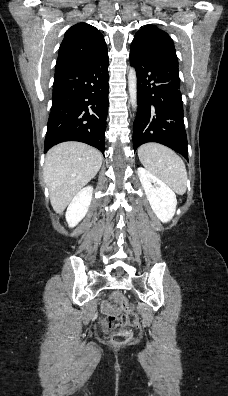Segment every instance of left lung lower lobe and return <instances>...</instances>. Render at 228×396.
<instances>
[{
	"label": "left lung lower lobe",
	"mask_w": 228,
	"mask_h": 396,
	"mask_svg": "<svg viewBox=\"0 0 228 396\" xmlns=\"http://www.w3.org/2000/svg\"><path fill=\"white\" fill-rule=\"evenodd\" d=\"M130 62L137 74L134 151L144 143L157 142L188 160L178 63L165 55L133 45L130 47Z\"/></svg>",
	"instance_id": "obj_1"
}]
</instances>
